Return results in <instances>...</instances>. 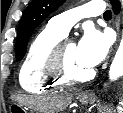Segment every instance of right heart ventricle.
I'll list each match as a JSON object with an SVG mask.
<instances>
[{
  "label": "right heart ventricle",
  "mask_w": 123,
  "mask_h": 113,
  "mask_svg": "<svg viewBox=\"0 0 123 113\" xmlns=\"http://www.w3.org/2000/svg\"><path fill=\"white\" fill-rule=\"evenodd\" d=\"M65 37L62 33L47 26L31 42L22 62L19 81L24 90L43 94L63 86L46 71V62L55 45Z\"/></svg>",
  "instance_id": "obj_1"
}]
</instances>
